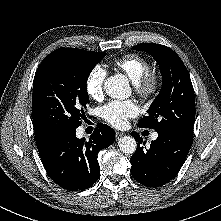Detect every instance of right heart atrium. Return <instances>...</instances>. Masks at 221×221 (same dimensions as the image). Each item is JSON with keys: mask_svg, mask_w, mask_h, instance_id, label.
Masks as SVG:
<instances>
[{"mask_svg": "<svg viewBox=\"0 0 221 221\" xmlns=\"http://www.w3.org/2000/svg\"><path fill=\"white\" fill-rule=\"evenodd\" d=\"M107 76L106 69L101 65H95L88 73L85 81V91L93 100H99L103 96V85Z\"/></svg>", "mask_w": 221, "mask_h": 221, "instance_id": "d8ad5b80", "label": "right heart atrium"}]
</instances>
